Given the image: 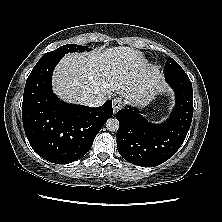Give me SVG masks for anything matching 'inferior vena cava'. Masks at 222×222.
<instances>
[{"mask_svg": "<svg viewBox=\"0 0 222 222\" xmlns=\"http://www.w3.org/2000/svg\"><path fill=\"white\" fill-rule=\"evenodd\" d=\"M105 97H100L96 94H86L82 98V102L90 107H98L105 102Z\"/></svg>", "mask_w": 222, "mask_h": 222, "instance_id": "inferior-vena-cava-1", "label": "inferior vena cava"}]
</instances>
